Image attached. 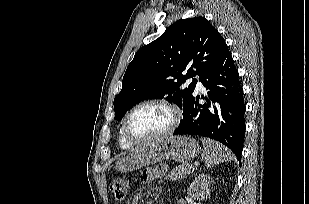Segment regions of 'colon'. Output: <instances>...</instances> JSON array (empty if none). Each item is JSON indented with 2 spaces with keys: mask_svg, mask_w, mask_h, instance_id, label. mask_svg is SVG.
Here are the masks:
<instances>
[{
  "mask_svg": "<svg viewBox=\"0 0 309 204\" xmlns=\"http://www.w3.org/2000/svg\"><path fill=\"white\" fill-rule=\"evenodd\" d=\"M129 183L124 178H114L111 182V192L116 201L120 202L126 198Z\"/></svg>",
  "mask_w": 309,
  "mask_h": 204,
  "instance_id": "obj_1",
  "label": "colon"
}]
</instances>
